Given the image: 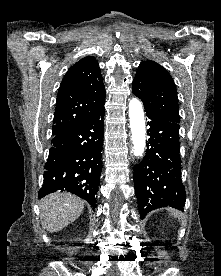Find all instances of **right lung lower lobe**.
<instances>
[{"label": "right lung lower lobe", "instance_id": "right-lung-lower-lobe-1", "mask_svg": "<svg viewBox=\"0 0 221 276\" xmlns=\"http://www.w3.org/2000/svg\"><path fill=\"white\" fill-rule=\"evenodd\" d=\"M104 114L102 106L83 123L54 134L39 198L62 190L96 206L102 170Z\"/></svg>", "mask_w": 221, "mask_h": 276}]
</instances>
